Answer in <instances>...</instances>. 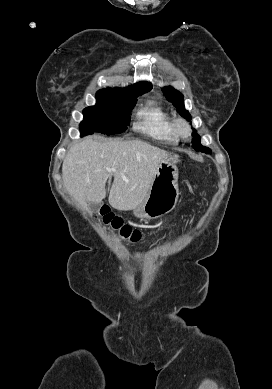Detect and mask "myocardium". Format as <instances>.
I'll return each instance as SVG.
<instances>
[{
    "mask_svg": "<svg viewBox=\"0 0 272 389\" xmlns=\"http://www.w3.org/2000/svg\"><path fill=\"white\" fill-rule=\"evenodd\" d=\"M173 129L178 138L187 139L191 135V128L183 118H177L173 121Z\"/></svg>",
    "mask_w": 272,
    "mask_h": 389,
    "instance_id": "1",
    "label": "myocardium"
}]
</instances>
